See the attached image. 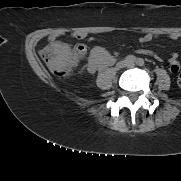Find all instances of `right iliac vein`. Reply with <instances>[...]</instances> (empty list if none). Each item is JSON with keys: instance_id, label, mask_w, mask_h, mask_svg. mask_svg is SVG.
<instances>
[{"instance_id": "obj_1", "label": "right iliac vein", "mask_w": 181, "mask_h": 181, "mask_svg": "<svg viewBox=\"0 0 181 181\" xmlns=\"http://www.w3.org/2000/svg\"><path fill=\"white\" fill-rule=\"evenodd\" d=\"M126 62L125 61H120L116 64V68L119 70V69H122L124 67H126Z\"/></svg>"}]
</instances>
